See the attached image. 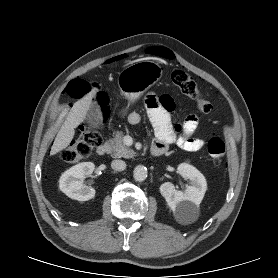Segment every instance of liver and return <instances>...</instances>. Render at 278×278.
Listing matches in <instances>:
<instances>
[{
  "label": "liver",
  "instance_id": "1",
  "mask_svg": "<svg viewBox=\"0 0 278 278\" xmlns=\"http://www.w3.org/2000/svg\"><path fill=\"white\" fill-rule=\"evenodd\" d=\"M96 92L97 89L93 90L73 105L54 140L50 155H55L70 144L75 135V128L84 121Z\"/></svg>",
  "mask_w": 278,
  "mask_h": 278
}]
</instances>
